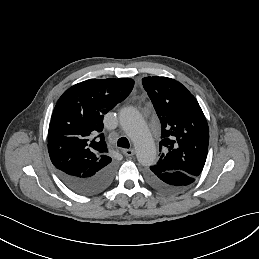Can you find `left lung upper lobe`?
I'll use <instances>...</instances> for the list:
<instances>
[{
    "mask_svg": "<svg viewBox=\"0 0 259 259\" xmlns=\"http://www.w3.org/2000/svg\"><path fill=\"white\" fill-rule=\"evenodd\" d=\"M142 84L161 123L157 174L180 171L198 177L208 153L209 128L195 97L178 81L167 77H145Z\"/></svg>",
    "mask_w": 259,
    "mask_h": 259,
    "instance_id": "1",
    "label": "left lung upper lobe"
}]
</instances>
